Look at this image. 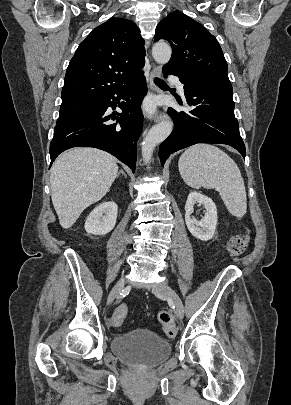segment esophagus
<instances>
[{
  "label": "esophagus",
  "mask_w": 291,
  "mask_h": 405,
  "mask_svg": "<svg viewBox=\"0 0 291 405\" xmlns=\"http://www.w3.org/2000/svg\"><path fill=\"white\" fill-rule=\"evenodd\" d=\"M161 74L162 70L160 66H155L151 71V88L158 93L160 92V89L155 85L154 79L160 77ZM164 120H168V115L165 112H158L157 115L155 116V121L161 122Z\"/></svg>",
  "instance_id": "obj_1"
}]
</instances>
